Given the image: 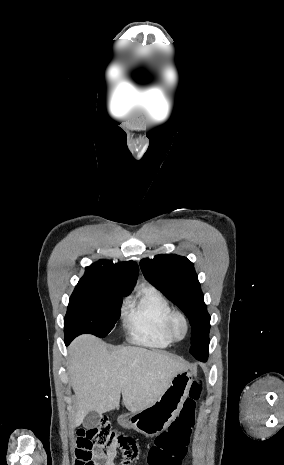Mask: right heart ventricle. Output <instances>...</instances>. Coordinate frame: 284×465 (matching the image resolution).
<instances>
[{
	"label": "right heart ventricle",
	"instance_id": "e07e8e85",
	"mask_svg": "<svg viewBox=\"0 0 284 465\" xmlns=\"http://www.w3.org/2000/svg\"><path fill=\"white\" fill-rule=\"evenodd\" d=\"M172 312L166 296L154 286H146L123 311L122 326L128 340L141 346H171L166 323Z\"/></svg>",
	"mask_w": 284,
	"mask_h": 465
}]
</instances>
